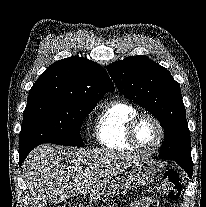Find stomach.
Masks as SVG:
<instances>
[{"label": "stomach", "mask_w": 206, "mask_h": 207, "mask_svg": "<svg viewBox=\"0 0 206 207\" xmlns=\"http://www.w3.org/2000/svg\"><path fill=\"white\" fill-rule=\"evenodd\" d=\"M155 175L156 168L152 161L138 159L131 165L128 171L124 172L123 176H117L110 180L104 189V198L118 193L130 184L138 187L147 186L154 181Z\"/></svg>", "instance_id": "stomach-1"}]
</instances>
